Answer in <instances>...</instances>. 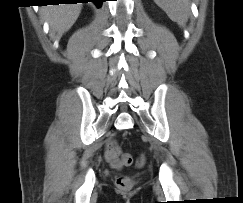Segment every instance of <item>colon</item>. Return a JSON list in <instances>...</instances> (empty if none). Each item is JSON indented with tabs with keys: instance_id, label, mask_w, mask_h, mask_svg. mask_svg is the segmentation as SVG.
I'll return each instance as SVG.
<instances>
[{
	"instance_id": "5ec220e1",
	"label": "colon",
	"mask_w": 243,
	"mask_h": 203,
	"mask_svg": "<svg viewBox=\"0 0 243 203\" xmlns=\"http://www.w3.org/2000/svg\"><path fill=\"white\" fill-rule=\"evenodd\" d=\"M114 160L122 166H129L132 163L131 156L119 150H117ZM116 185L122 191H130L134 186V181L130 176L122 175L117 178Z\"/></svg>"
}]
</instances>
